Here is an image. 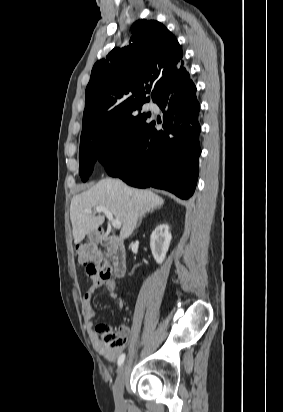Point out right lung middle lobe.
Here are the masks:
<instances>
[{"mask_svg": "<svg viewBox=\"0 0 283 412\" xmlns=\"http://www.w3.org/2000/svg\"><path fill=\"white\" fill-rule=\"evenodd\" d=\"M141 107L133 109L116 127L80 140L79 173L82 181L88 180L97 159L103 165H108L127 154L136 137L148 124L149 114H141Z\"/></svg>", "mask_w": 283, "mask_h": 412, "instance_id": "1", "label": "right lung middle lobe"}]
</instances>
